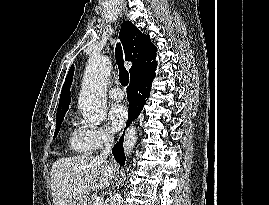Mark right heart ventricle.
I'll return each mask as SVG.
<instances>
[{"label": "right heart ventricle", "mask_w": 269, "mask_h": 205, "mask_svg": "<svg viewBox=\"0 0 269 205\" xmlns=\"http://www.w3.org/2000/svg\"><path fill=\"white\" fill-rule=\"evenodd\" d=\"M71 149L79 155H89L92 151L83 143L80 136V129H73L69 134Z\"/></svg>", "instance_id": "e07e8e85"}]
</instances>
